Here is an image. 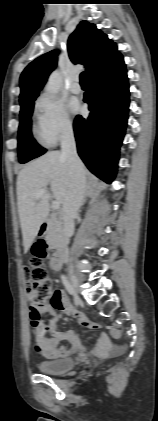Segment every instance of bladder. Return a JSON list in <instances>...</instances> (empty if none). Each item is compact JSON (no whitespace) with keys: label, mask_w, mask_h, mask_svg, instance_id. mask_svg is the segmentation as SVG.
Wrapping results in <instances>:
<instances>
[{"label":"bladder","mask_w":158,"mask_h":421,"mask_svg":"<svg viewBox=\"0 0 158 421\" xmlns=\"http://www.w3.org/2000/svg\"><path fill=\"white\" fill-rule=\"evenodd\" d=\"M75 366V360L71 357H60L55 359L41 360L37 363V368L44 374H63Z\"/></svg>","instance_id":"bladder-1"}]
</instances>
